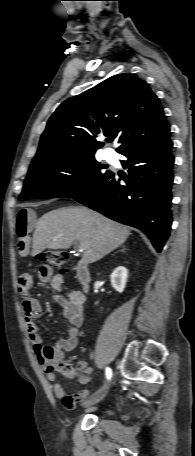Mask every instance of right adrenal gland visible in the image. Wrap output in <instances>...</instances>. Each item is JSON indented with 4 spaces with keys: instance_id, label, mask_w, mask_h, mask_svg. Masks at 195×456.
Wrapping results in <instances>:
<instances>
[{
    "instance_id": "2a0ac1e0",
    "label": "right adrenal gland",
    "mask_w": 195,
    "mask_h": 456,
    "mask_svg": "<svg viewBox=\"0 0 195 456\" xmlns=\"http://www.w3.org/2000/svg\"><path fill=\"white\" fill-rule=\"evenodd\" d=\"M120 251L124 252V251H125V249L123 248V249H121Z\"/></svg>"
}]
</instances>
